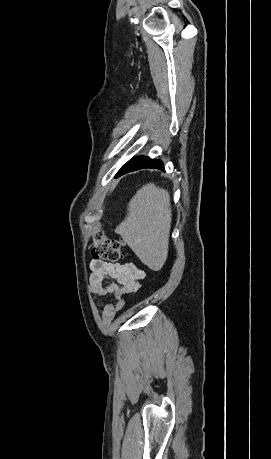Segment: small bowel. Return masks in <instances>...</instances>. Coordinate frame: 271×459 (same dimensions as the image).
Masks as SVG:
<instances>
[{
    "label": "small bowel",
    "mask_w": 271,
    "mask_h": 459,
    "mask_svg": "<svg viewBox=\"0 0 271 459\" xmlns=\"http://www.w3.org/2000/svg\"><path fill=\"white\" fill-rule=\"evenodd\" d=\"M90 268L91 292L115 299L105 305L102 311L103 321L109 323L124 308L123 297L138 290L145 272L131 263H107L97 259L91 262ZM108 279L112 281L106 283Z\"/></svg>",
    "instance_id": "1"
}]
</instances>
